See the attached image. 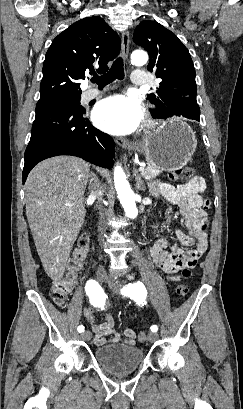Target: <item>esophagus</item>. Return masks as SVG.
<instances>
[{"mask_svg": "<svg viewBox=\"0 0 243 409\" xmlns=\"http://www.w3.org/2000/svg\"><path fill=\"white\" fill-rule=\"evenodd\" d=\"M129 43H130V35L129 32L127 30H125L122 33V43H121V49H122V55L125 59L128 58V54H129ZM116 144H118L119 146L125 148V149H133L136 147V143L131 142L128 139L125 138H116L115 139Z\"/></svg>", "mask_w": 243, "mask_h": 409, "instance_id": "1", "label": "esophagus"}]
</instances>
